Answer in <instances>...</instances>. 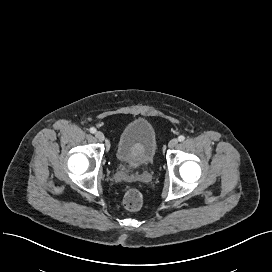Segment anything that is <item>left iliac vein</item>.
I'll return each mask as SVG.
<instances>
[{
    "label": "left iliac vein",
    "mask_w": 272,
    "mask_h": 272,
    "mask_svg": "<svg viewBox=\"0 0 272 272\" xmlns=\"http://www.w3.org/2000/svg\"><path fill=\"white\" fill-rule=\"evenodd\" d=\"M177 144H178V140H177L176 138H173V139H171V140L169 141L168 147H169V148H174V147L177 146Z\"/></svg>",
    "instance_id": "obj_1"
}]
</instances>
